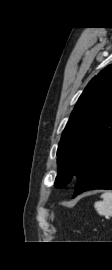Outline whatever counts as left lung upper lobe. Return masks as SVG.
<instances>
[{
	"label": "left lung upper lobe",
	"instance_id": "obj_1",
	"mask_svg": "<svg viewBox=\"0 0 112 270\" xmlns=\"http://www.w3.org/2000/svg\"><path fill=\"white\" fill-rule=\"evenodd\" d=\"M112 147V64L86 86L63 131L57 150L55 186L78 180Z\"/></svg>",
	"mask_w": 112,
	"mask_h": 270
}]
</instances>
